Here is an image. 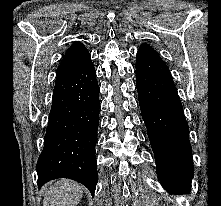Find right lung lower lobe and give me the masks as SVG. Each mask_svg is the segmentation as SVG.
Returning a JSON list of instances; mask_svg holds the SVG:
<instances>
[{"label": "right lung lower lobe", "instance_id": "obj_1", "mask_svg": "<svg viewBox=\"0 0 221 206\" xmlns=\"http://www.w3.org/2000/svg\"><path fill=\"white\" fill-rule=\"evenodd\" d=\"M99 90L92 61L56 80L44 148L36 167L39 188L56 178H70L94 194Z\"/></svg>", "mask_w": 221, "mask_h": 206}]
</instances>
